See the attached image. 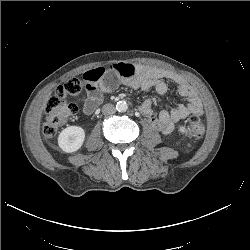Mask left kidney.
I'll return each instance as SVG.
<instances>
[{
	"label": "left kidney",
	"instance_id": "5707ae66",
	"mask_svg": "<svg viewBox=\"0 0 250 250\" xmlns=\"http://www.w3.org/2000/svg\"><path fill=\"white\" fill-rule=\"evenodd\" d=\"M179 132H180V133H185V132H186L185 126H180V127H179Z\"/></svg>",
	"mask_w": 250,
	"mask_h": 250
}]
</instances>
